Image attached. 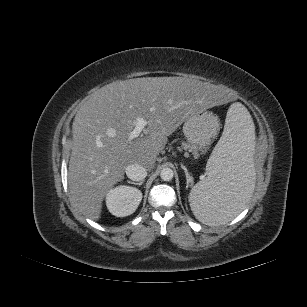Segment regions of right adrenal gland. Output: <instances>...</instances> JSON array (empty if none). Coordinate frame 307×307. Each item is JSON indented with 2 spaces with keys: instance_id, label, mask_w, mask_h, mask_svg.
Returning <instances> with one entry per match:
<instances>
[{
  "instance_id": "right-adrenal-gland-1",
  "label": "right adrenal gland",
  "mask_w": 307,
  "mask_h": 307,
  "mask_svg": "<svg viewBox=\"0 0 307 307\" xmlns=\"http://www.w3.org/2000/svg\"><path fill=\"white\" fill-rule=\"evenodd\" d=\"M143 180L142 181H140V182H133V181H128V183L129 184H133V185H139V186H141L142 184H143Z\"/></svg>"
}]
</instances>
